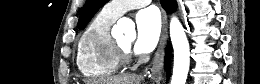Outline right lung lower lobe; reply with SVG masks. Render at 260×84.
<instances>
[{
  "label": "right lung lower lobe",
  "instance_id": "right-lung-lower-lobe-1",
  "mask_svg": "<svg viewBox=\"0 0 260 84\" xmlns=\"http://www.w3.org/2000/svg\"><path fill=\"white\" fill-rule=\"evenodd\" d=\"M163 8H165L168 12H172L176 8V0H161ZM165 65L167 67V74L169 76V66H170V51L167 47L166 56H165Z\"/></svg>",
  "mask_w": 260,
  "mask_h": 84
}]
</instances>
